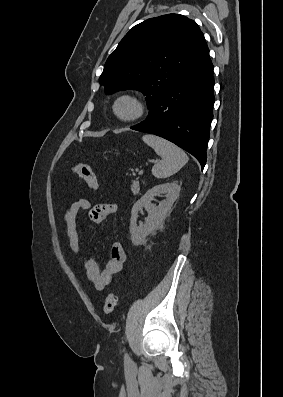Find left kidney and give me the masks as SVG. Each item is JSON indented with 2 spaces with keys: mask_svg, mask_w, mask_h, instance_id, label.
I'll return each mask as SVG.
<instances>
[{
  "mask_svg": "<svg viewBox=\"0 0 283 397\" xmlns=\"http://www.w3.org/2000/svg\"><path fill=\"white\" fill-rule=\"evenodd\" d=\"M181 186L176 182L156 185L149 189L132 207L130 219L131 241L134 245L145 242L146 237L157 229L171 212L173 203L179 197ZM165 195L166 199L159 206L152 204L155 196ZM145 210L148 217L144 223L137 225L138 213Z\"/></svg>",
  "mask_w": 283,
  "mask_h": 397,
  "instance_id": "left-kidney-1",
  "label": "left kidney"
}]
</instances>
